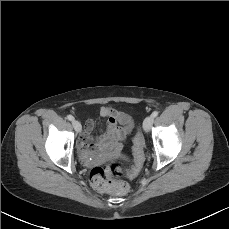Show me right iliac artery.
Instances as JSON below:
<instances>
[{
	"label": "right iliac artery",
	"instance_id": "right-iliac-artery-1",
	"mask_svg": "<svg viewBox=\"0 0 229 229\" xmlns=\"http://www.w3.org/2000/svg\"><path fill=\"white\" fill-rule=\"evenodd\" d=\"M67 119L70 120V121H73L74 120V117L72 115H68L67 116Z\"/></svg>",
	"mask_w": 229,
	"mask_h": 229
}]
</instances>
